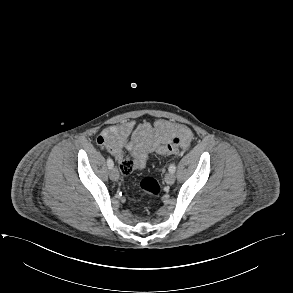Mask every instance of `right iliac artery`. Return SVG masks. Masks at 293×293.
Segmentation results:
<instances>
[{
  "mask_svg": "<svg viewBox=\"0 0 293 293\" xmlns=\"http://www.w3.org/2000/svg\"><path fill=\"white\" fill-rule=\"evenodd\" d=\"M107 166L109 169H111L114 166L113 160L111 158L107 159Z\"/></svg>",
  "mask_w": 293,
  "mask_h": 293,
  "instance_id": "right-iliac-artery-1",
  "label": "right iliac artery"
}]
</instances>
